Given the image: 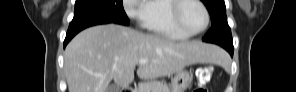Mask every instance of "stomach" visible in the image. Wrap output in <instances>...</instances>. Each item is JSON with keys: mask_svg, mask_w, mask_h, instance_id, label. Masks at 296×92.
<instances>
[{"mask_svg": "<svg viewBox=\"0 0 296 92\" xmlns=\"http://www.w3.org/2000/svg\"><path fill=\"white\" fill-rule=\"evenodd\" d=\"M192 81V75L186 71H178L171 81L170 92H185Z\"/></svg>", "mask_w": 296, "mask_h": 92, "instance_id": "1", "label": "stomach"}]
</instances>
